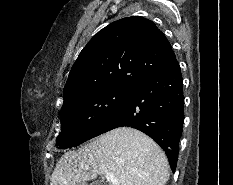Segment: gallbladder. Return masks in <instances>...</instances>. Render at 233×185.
<instances>
[{
    "label": "gallbladder",
    "instance_id": "obj_1",
    "mask_svg": "<svg viewBox=\"0 0 233 185\" xmlns=\"http://www.w3.org/2000/svg\"><path fill=\"white\" fill-rule=\"evenodd\" d=\"M93 185H103V184L100 182H95Z\"/></svg>",
    "mask_w": 233,
    "mask_h": 185
}]
</instances>
